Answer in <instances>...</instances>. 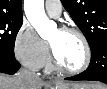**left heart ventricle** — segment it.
<instances>
[{"mask_svg": "<svg viewBox=\"0 0 107 89\" xmlns=\"http://www.w3.org/2000/svg\"><path fill=\"white\" fill-rule=\"evenodd\" d=\"M49 42L53 46L57 58L64 66L75 69L82 65L85 51L79 37L56 29L49 37Z\"/></svg>", "mask_w": 107, "mask_h": 89, "instance_id": "left-heart-ventricle-1", "label": "left heart ventricle"}]
</instances>
